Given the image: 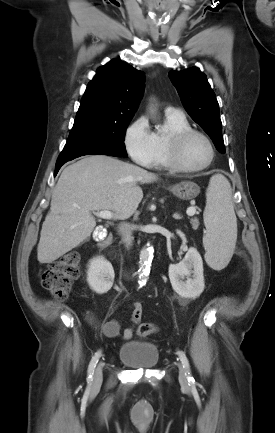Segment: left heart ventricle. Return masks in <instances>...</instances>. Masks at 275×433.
<instances>
[{"label":"left heart ventricle","instance_id":"b2bd125f","mask_svg":"<svg viewBox=\"0 0 275 433\" xmlns=\"http://www.w3.org/2000/svg\"><path fill=\"white\" fill-rule=\"evenodd\" d=\"M210 154L206 141L200 136H193L185 142L181 159L186 166L199 167L209 160Z\"/></svg>","mask_w":275,"mask_h":433}]
</instances>
